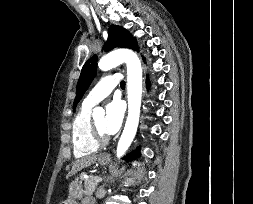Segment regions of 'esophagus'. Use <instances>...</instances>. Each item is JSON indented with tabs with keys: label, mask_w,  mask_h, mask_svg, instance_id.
Listing matches in <instances>:
<instances>
[{
	"label": "esophagus",
	"mask_w": 253,
	"mask_h": 204,
	"mask_svg": "<svg viewBox=\"0 0 253 204\" xmlns=\"http://www.w3.org/2000/svg\"><path fill=\"white\" fill-rule=\"evenodd\" d=\"M101 157H102V158H109L110 155H109V154H102Z\"/></svg>",
	"instance_id": "34e87169"
}]
</instances>
